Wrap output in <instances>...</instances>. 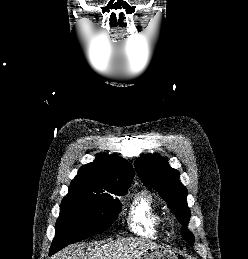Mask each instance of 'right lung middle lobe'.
<instances>
[{
  "label": "right lung middle lobe",
  "mask_w": 248,
  "mask_h": 259,
  "mask_svg": "<svg viewBox=\"0 0 248 259\" xmlns=\"http://www.w3.org/2000/svg\"><path fill=\"white\" fill-rule=\"evenodd\" d=\"M126 192L127 189L111 192L69 190L60 206L51 249L56 252L109 228L121 212L120 201L112 194L122 196Z\"/></svg>",
  "instance_id": "dd1d6c3e"
}]
</instances>
